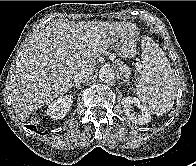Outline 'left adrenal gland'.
Wrapping results in <instances>:
<instances>
[{"label": "left adrenal gland", "instance_id": "a2214340", "mask_svg": "<svg viewBox=\"0 0 196 166\" xmlns=\"http://www.w3.org/2000/svg\"><path fill=\"white\" fill-rule=\"evenodd\" d=\"M120 79H122L124 82H126L127 84H129V81L125 78H123L122 76H120Z\"/></svg>", "mask_w": 196, "mask_h": 166}]
</instances>
